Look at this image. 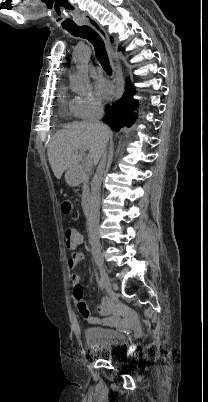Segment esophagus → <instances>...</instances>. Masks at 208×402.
I'll return each instance as SVG.
<instances>
[{"label":"esophagus","instance_id":"obj_1","mask_svg":"<svg viewBox=\"0 0 208 402\" xmlns=\"http://www.w3.org/2000/svg\"><path fill=\"white\" fill-rule=\"evenodd\" d=\"M81 23L82 24H87L90 25V27L94 28L96 32L100 35V37L103 38L105 45H106V50L108 52V57L110 59V63L114 69L115 76H116V95L115 99L119 100L121 98L122 93H123V79H122V74H121V69L119 62L115 56V50L112 47L109 37L101 25L93 18L89 13H83L81 17Z\"/></svg>","mask_w":208,"mask_h":402}]
</instances>
